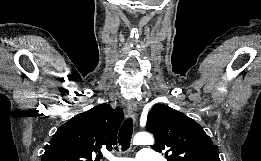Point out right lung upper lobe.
Listing matches in <instances>:
<instances>
[{
  "label": "right lung upper lobe",
  "mask_w": 261,
  "mask_h": 161,
  "mask_svg": "<svg viewBox=\"0 0 261 161\" xmlns=\"http://www.w3.org/2000/svg\"><path fill=\"white\" fill-rule=\"evenodd\" d=\"M123 111L100 104L61 125L45 146L41 161H99L102 147L117 144Z\"/></svg>",
  "instance_id": "obj_1"
}]
</instances>
